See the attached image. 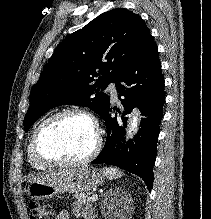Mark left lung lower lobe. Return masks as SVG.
Returning a JSON list of instances; mask_svg holds the SVG:
<instances>
[{
	"label": "left lung lower lobe",
	"instance_id": "1",
	"mask_svg": "<svg viewBox=\"0 0 211 219\" xmlns=\"http://www.w3.org/2000/svg\"><path fill=\"white\" fill-rule=\"evenodd\" d=\"M118 97L125 111L135 106L141 110V128L134 140L124 142L127 118L111 117L112 108L101 116L105 120L107 140L92 163L117 166L140 176L149 191L153 185V166L156 159L159 125L165 103L164 78L158 58V48L150 35L145 45L115 81ZM121 96L124 98L121 99ZM124 125V126H123Z\"/></svg>",
	"mask_w": 211,
	"mask_h": 219
}]
</instances>
